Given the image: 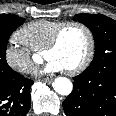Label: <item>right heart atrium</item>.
<instances>
[{
	"mask_svg": "<svg viewBox=\"0 0 116 116\" xmlns=\"http://www.w3.org/2000/svg\"><path fill=\"white\" fill-rule=\"evenodd\" d=\"M4 60L12 70L19 74H30L36 67L31 50L17 33L12 36L4 49Z\"/></svg>",
	"mask_w": 116,
	"mask_h": 116,
	"instance_id": "1",
	"label": "right heart atrium"
}]
</instances>
